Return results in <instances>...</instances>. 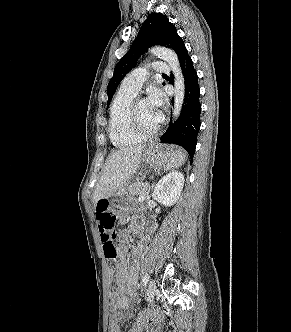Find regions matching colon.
Segmentation results:
<instances>
[{
	"label": "colon",
	"instance_id": "colon-1",
	"mask_svg": "<svg viewBox=\"0 0 291 332\" xmlns=\"http://www.w3.org/2000/svg\"><path fill=\"white\" fill-rule=\"evenodd\" d=\"M96 216L103 244L104 255L107 259L114 260L117 257V247L115 244L116 216L106 201H100L98 203ZM109 332H121L117 316H113L111 318Z\"/></svg>",
	"mask_w": 291,
	"mask_h": 332
}]
</instances>
